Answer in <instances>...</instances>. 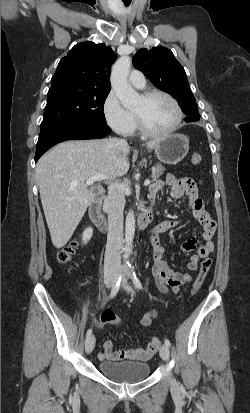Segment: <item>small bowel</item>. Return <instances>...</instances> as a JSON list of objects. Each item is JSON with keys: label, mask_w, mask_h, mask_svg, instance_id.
I'll return each instance as SVG.
<instances>
[{"label": "small bowel", "mask_w": 250, "mask_h": 413, "mask_svg": "<svg viewBox=\"0 0 250 413\" xmlns=\"http://www.w3.org/2000/svg\"><path fill=\"white\" fill-rule=\"evenodd\" d=\"M164 186L171 187L170 196L173 199H179L184 195L187 196V207L191 209L193 217L199 221L203 227L201 238L203 244L198 246V238L193 237L182 244L184 252L196 250L192 254L186 264L185 272H176L172 270L164 260V248L160 244L159 234L178 227L181 224L180 220H161L151 232V243L153 246V265L152 274L155 279L157 288L163 294L169 292L177 293L180 288L192 280L190 272L197 271L199 262L202 258L208 257L214 251L213 236L215 233V222L210 218L204 208L202 200L198 197L196 187L193 181L188 177H177L173 174H168L164 180L154 182L149 190V196L152 201H155L158 193ZM156 317L154 310L146 313L141 322L144 326H150L153 319ZM103 352L98 354L99 360H138L147 361L157 351V348L150 344L144 348H134L115 351L111 341L106 340L103 343Z\"/></svg>", "instance_id": "1"}]
</instances>
